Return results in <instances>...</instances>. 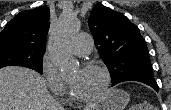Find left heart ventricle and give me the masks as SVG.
<instances>
[{"label":"left heart ventricle","mask_w":171,"mask_h":110,"mask_svg":"<svg viewBox=\"0 0 171 110\" xmlns=\"http://www.w3.org/2000/svg\"><path fill=\"white\" fill-rule=\"evenodd\" d=\"M76 95L89 97L97 94L103 86V75L97 69H76L68 77Z\"/></svg>","instance_id":"b2bd125f"}]
</instances>
